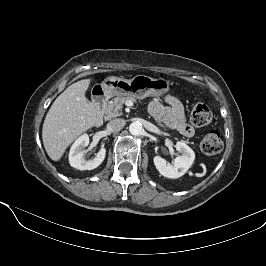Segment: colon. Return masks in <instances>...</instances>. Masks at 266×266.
<instances>
[{"mask_svg": "<svg viewBox=\"0 0 266 266\" xmlns=\"http://www.w3.org/2000/svg\"><path fill=\"white\" fill-rule=\"evenodd\" d=\"M212 112L202 102H196L192 106L190 120L195 127H204L211 123ZM223 142L216 130L208 132L200 143L201 151L208 156L215 155L222 150Z\"/></svg>", "mask_w": 266, "mask_h": 266, "instance_id": "colon-1", "label": "colon"}]
</instances>
